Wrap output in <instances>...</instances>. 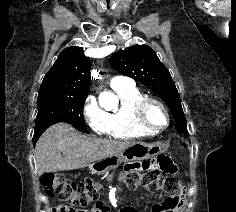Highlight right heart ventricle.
Masks as SVG:
<instances>
[{
    "label": "right heart ventricle",
    "instance_id": "1",
    "mask_svg": "<svg viewBox=\"0 0 236 212\" xmlns=\"http://www.w3.org/2000/svg\"><path fill=\"white\" fill-rule=\"evenodd\" d=\"M116 93L120 105L106 114L105 134L113 139L129 140L149 137L155 133L140 127L135 120V107L145 94L135 85L130 84L112 88Z\"/></svg>",
    "mask_w": 236,
    "mask_h": 212
}]
</instances>
